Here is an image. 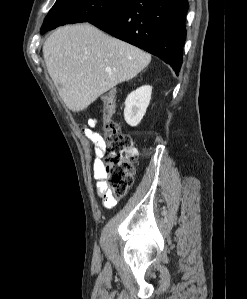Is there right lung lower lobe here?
<instances>
[{"instance_id":"98d812e1","label":"right lung lower lobe","mask_w":247,"mask_h":299,"mask_svg":"<svg viewBox=\"0 0 247 299\" xmlns=\"http://www.w3.org/2000/svg\"><path fill=\"white\" fill-rule=\"evenodd\" d=\"M187 11V0H130L90 23L158 56L177 74L183 61Z\"/></svg>"}]
</instances>
